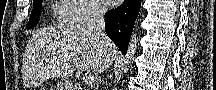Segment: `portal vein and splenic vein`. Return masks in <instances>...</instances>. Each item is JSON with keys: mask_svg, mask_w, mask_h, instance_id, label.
<instances>
[{"mask_svg": "<svg viewBox=\"0 0 216 90\" xmlns=\"http://www.w3.org/2000/svg\"><path fill=\"white\" fill-rule=\"evenodd\" d=\"M83 80L85 84H93L94 78L91 76V74H86V76H83Z\"/></svg>", "mask_w": 216, "mask_h": 90, "instance_id": "obj_1", "label": "portal vein and splenic vein"}]
</instances>
